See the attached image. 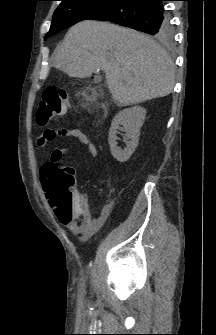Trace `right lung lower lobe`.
Here are the masks:
<instances>
[{
    "instance_id": "right-lung-lower-lobe-1",
    "label": "right lung lower lobe",
    "mask_w": 216,
    "mask_h": 335,
    "mask_svg": "<svg viewBox=\"0 0 216 335\" xmlns=\"http://www.w3.org/2000/svg\"><path fill=\"white\" fill-rule=\"evenodd\" d=\"M164 0H116L90 20L110 21L154 35L169 27Z\"/></svg>"
}]
</instances>
